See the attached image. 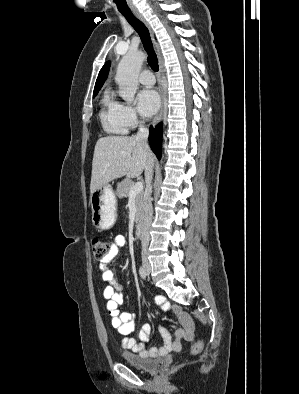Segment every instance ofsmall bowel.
<instances>
[{
	"label": "small bowel",
	"mask_w": 299,
	"mask_h": 394,
	"mask_svg": "<svg viewBox=\"0 0 299 394\" xmlns=\"http://www.w3.org/2000/svg\"><path fill=\"white\" fill-rule=\"evenodd\" d=\"M127 243L125 236H116L113 243L110 245L109 254L99 263L98 269L101 279L109 285L104 288L103 296L107 300V310L111 317V324L113 328L121 335L125 336L122 340V347L131 350L145 358L161 357L170 352L179 351L182 347V341H191L194 337V322L192 318L181 310L178 306H171L163 296L155 298L156 304L164 311L172 310L178 318L181 328L175 331L174 338H172L167 327L161 326L160 331L164 344L160 348L147 349L146 342L148 341L152 326L144 324L139 332V342L129 335L135 328V314L129 312H120L119 304L122 301V294L120 292L121 285L114 277L112 270L109 268V263L118 257L121 248Z\"/></svg>",
	"instance_id": "c3829d8e"
}]
</instances>
